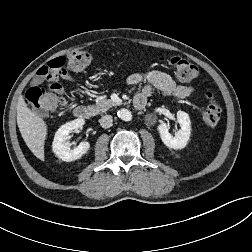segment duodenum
Segmentation results:
<instances>
[{"instance_id": "1", "label": "duodenum", "mask_w": 252, "mask_h": 252, "mask_svg": "<svg viewBox=\"0 0 252 252\" xmlns=\"http://www.w3.org/2000/svg\"><path fill=\"white\" fill-rule=\"evenodd\" d=\"M138 109H141L145 106L144 102H138L137 103ZM74 115L79 119H89L93 117L94 110L90 106H78L74 110Z\"/></svg>"}]
</instances>
